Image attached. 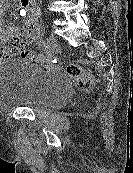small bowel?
Returning a JSON list of instances; mask_svg holds the SVG:
<instances>
[{"mask_svg": "<svg viewBox=\"0 0 133 173\" xmlns=\"http://www.w3.org/2000/svg\"><path fill=\"white\" fill-rule=\"evenodd\" d=\"M26 9H29V15L24 27L8 25L0 14V50L11 38L18 37L23 39L24 42H28L38 37L40 32L39 10L34 6L33 0H20V11H25ZM7 57L9 56L0 53V61Z\"/></svg>", "mask_w": 133, "mask_h": 173, "instance_id": "1", "label": "small bowel"}]
</instances>
